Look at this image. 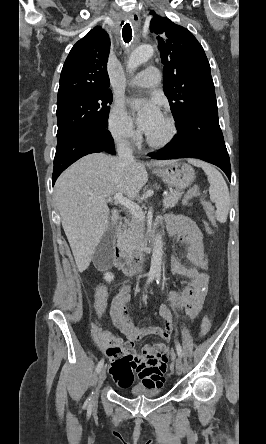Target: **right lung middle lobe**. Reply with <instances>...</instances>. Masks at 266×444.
Listing matches in <instances>:
<instances>
[{"mask_svg":"<svg viewBox=\"0 0 266 444\" xmlns=\"http://www.w3.org/2000/svg\"><path fill=\"white\" fill-rule=\"evenodd\" d=\"M111 102L112 93L108 89L57 99V148L81 133L106 129Z\"/></svg>","mask_w":266,"mask_h":444,"instance_id":"right-lung-middle-lobe-1","label":"right lung middle lobe"}]
</instances>
